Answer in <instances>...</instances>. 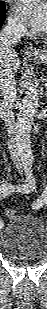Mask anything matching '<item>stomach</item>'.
Wrapping results in <instances>:
<instances>
[{"instance_id": "1", "label": "stomach", "mask_w": 47, "mask_h": 309, "mask_svg": "<svg viewBox=\"0 0 47 309\" xmlns=\"http://www.w3.org/2000/svg\"><path fill=\"white\" fill-rule=\"evenodd\" d=\"M29 59L33 60V61H38L40 63L47 64V50L45 51V53L39 54V55H35L33 57H30Z\"/></svg>"}]
</instances>
